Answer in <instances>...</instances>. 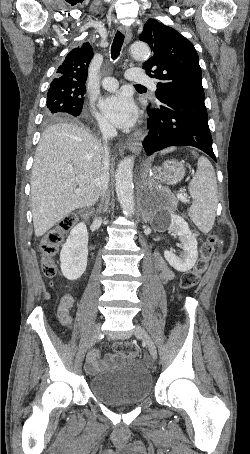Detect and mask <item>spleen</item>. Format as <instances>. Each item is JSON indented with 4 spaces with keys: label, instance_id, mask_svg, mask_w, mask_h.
Instances as JSON below:
<instances>
[{
    "label": "spleen",
    "instance_id": "spleen-1",
    "mask_svg": "<svg viewBox=\"0 0 250 454\" xmlns=\"http://www.w3.org/2000/svg\"><path fill=\"white\" fill-rule=\"evenodd\" d=\"M175 149V147L168 148L161 154ZM193 154L196 155L194 151ZM189 192L193 203L188 210V215L200 231L208 233L215 222L218 192L214 168L206 157L198 158L197 171L189 184Z\"/></svg>",
    "mask_w": 250,
    "mask_h": 454
}]
</instances>
